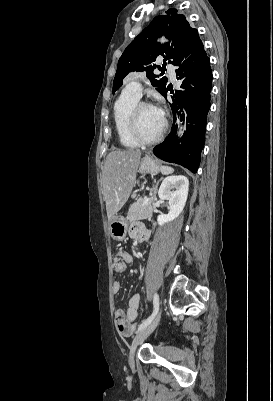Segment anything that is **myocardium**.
I'll return each mask as SVG.
<instances>
[{
    "mask_svg": "<svg viewBox=\"0 0 273 401\" xmlns=\"http://www.w3.org/2000/svg\"><path fill=\"white\" fill-rule=\"evenodd\" d=\"M143 106L150 107V105L147 102L140 101L132 108L128 118L127 130L129 136L136 142L140 143L141 145H151L157 143L159 140L162 139L167 130V124L164 122L161 131L154 137L147 138L143 136L139 130L137 121V113L139 109Z\"/></svg>",
    "mask_w": 273,
    "mask_h": 401,
    "instance_id": "myocardium-1",
    "label": "myocardium"
}]
</instances>
